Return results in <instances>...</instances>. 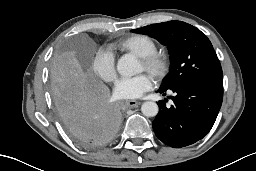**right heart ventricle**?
Here are the masks:
<instances>
[{
    "instance_id": "e07e8e85",
    "label": "right heart ventricle",
    "mask_w": 256,
    "mask_h": 171,
    "mask_svg": "<svg viewBox=\"0 0 256 171\" xmlns=\"http://www.w3.org/2000/svg\"><path fill=\"white\" fill-rule=\"evenodd\" d=\"M112 47L138 57L148 55L157 50L155 41L151 37L142 34L128 36L114 43Z\"/></svg>"
}]
</instances>
